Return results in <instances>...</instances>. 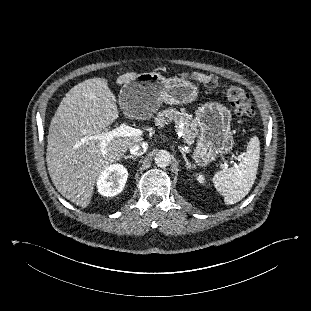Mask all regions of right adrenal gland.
I'll list each match as a JSON object with an SVG mask.
<instances>
[{"label": "right adrenal gland", "mask_w": 311, "mask_h": 311, "mask_svg": "<svg viewBox=\"0 0 311 311\" xmlns=\"http://www.w3.org/2000/svg\"><path fill=\"white\" fill-rule=\"evenodd\" d=\"M138 156H134V155H127V156H124V159H132V160H136Z\"/></svg>", "instance_id": "right-adrenal-gland-1"}]
</instances>
